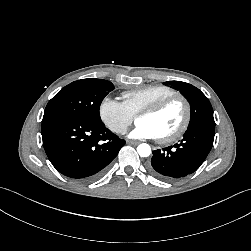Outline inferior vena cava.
Segmentation results:
<instances>
[{
  "mask_svg": "<svg viewBox=\"0 0 251 251\" xmlns=\"http://www.w3.org/2000/svg\"><path fill=\"white\" fill-rule=\"evenodd\" d=\"M127 132V129L125 127L120 129V133L125 134Z\"/></svg>",
  "mask_w": 251,
  "mask_h": 251,
  "instance_id": "inferior-vena-cava-1",
  "label": "inferior vena cava"
}]
</instances>
